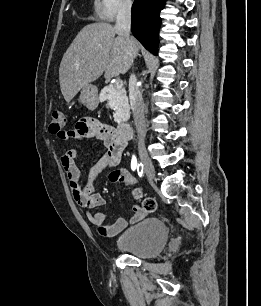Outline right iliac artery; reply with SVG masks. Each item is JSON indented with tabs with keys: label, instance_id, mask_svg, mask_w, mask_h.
Listing matches in <instances>:
<instances>
[{
	"label": "right iliac artery",
	"instance_id": "1",
	"mask_svg": "<svg viewBox=\"0 0 261 306\" xmlns=\"http://www.w3.org/2000/svg\"><path fill=\"white\" fill-rule=\"evenodd\" d=\"M131 168H132V170H135L137 168L138 175L140 177H142V175H143V164L142 163L137 164V159H136L135 155H133L132 160H131Z\"/></svg>",
	"mask_w": 261,
	"mask_h": 306
}]
</instances>
